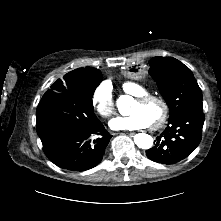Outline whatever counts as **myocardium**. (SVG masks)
Wrapping results in <instances>:
<instances>
[{"mask_svg": "<svg viewBox=\"0 0 221 221\" xmlns=\"http://www.w3.org/2000/svg\"><path fill=\"white\" fill-rule=\"evenodd\" d=\"M151 101H156L160 103V105L162 106V114L160 118L158 119L156 123L150 125V128L152 130H157L166 123L168 116H169L170 109L166 100L162 98L161 96L148 94V95H144V96L136 98V102L140 104H146Z\"/></svg>", "mask_w": 221, "mask_h": 221, "instance_id": "obj_1", "label": "myocardium"}]
</instances>
